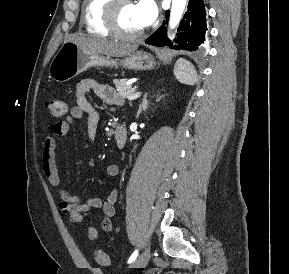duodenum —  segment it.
Instances as JSON below:
<instances>
[{"label": "duodenum", "instance_id": "1", "mask_svg": "<svg viewBox=\"0 0 289 274\" xmlns=\"http://www.w3.org/2000/svg\"><path fill=\"white\" fill-rule=\"evenodd\" d=\"M114 139L116 146L119 149H123L125 147L127 142V130L124 124H121L117 127L114 134Z\"/></svg>", "mask_w": 289, "mask_h": 274}]
</instances>
